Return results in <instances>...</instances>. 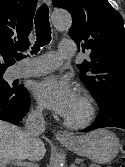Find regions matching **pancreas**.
<instances>
[{"label":"pancreas","mask_w":125,"mask_h":167,"mask_svg":"<svg viewBox=\"0 0 125 167\" xmlns=\"http://www.w3.org/2000/svg\"><path fill=\"white\" fill-rule=\"evenodd\" d=\"M83 167V166H81ZM90 167H100L99 165H91Z\"/></svg>","instance_id":"cf45deb5"}]
</instances>
